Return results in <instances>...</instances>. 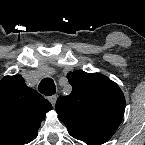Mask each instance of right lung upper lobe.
Instances as JSON below:
<instances>
[{
	"label": "right lung upper lobe",
	"mask_w": 145,
	"mask_h": 145,
	"mask_svg": "<svg viewBox=\"0 0 145 145\" xmlns=\"http://www.w3.org/2000/svg\"><path fill=\"white\" fill-rule=\"evenodd\" d=\"M51 103L21 75L0 80V145H26L37 137Z\"/></svg>",
	"instance_id": "obj_1"
}]
</instances>
